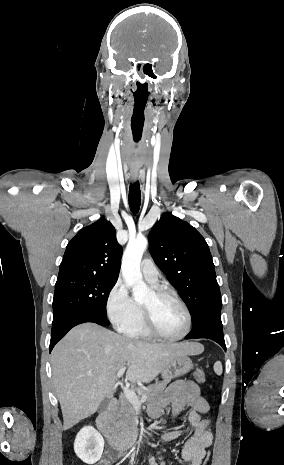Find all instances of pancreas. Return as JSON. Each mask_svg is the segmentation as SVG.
I'll use <instances>...</instances> for the list:
<instances>
[{
  "mask_svg": "<svg viewBox=\"0 0 284 465\" xmlns=\"http://www.w3.org/2000/svg\"><path fill=\"white\" fill-rule=\"evenodd\" d=\"M171 379L172 377H170V375H166L164 381H160V383H156V385H149L147 389H139V391H141V395H146V403H150V401L158 399V397L164 393V389H166ZM135 417L136 415L133 405L129 403L126 397H121L120 407L114 415V427L117 431H119L120 435L127 437V435L135 433Z\"/></svg>",
  "mask_w": 284,
  "mask_h": 465,
  "instance_id": "pancreas-1",
  "label": "pancreas"
}]
</instances>
